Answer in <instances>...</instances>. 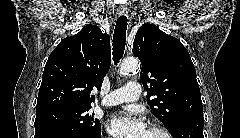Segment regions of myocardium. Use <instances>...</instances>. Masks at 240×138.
I'll return each mask as SVG.
<instances>
[{"label": "myocardium", "mask_w": 240, "mask_h": 138, "mask_svg": "<svg viewBox=\"0 0 240 138\" xmlns=\"http://www.w3.org/2000/svg\"><path fill=\"white\" fill-rule=\"evenodd\" d=\"M149 130H152V131L160 133L163 138H171V134L169 133V131L167 129L163 128L160 125L152 124L149 127Z\"/></svg>", "instance_id": "f54148a6"}]
</instances>
